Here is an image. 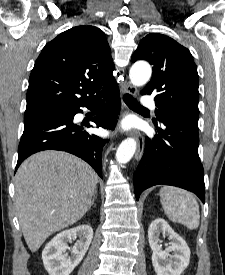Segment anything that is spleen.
Listing matches in <instances>:
<instances>
[{"mask_svg": "<svg viewBox=\"0 0 225 275\" xmlns=\"http://www.w3.org/2000/svg\"><path fill=\"white\" fill-rule=\"evenodd\" d=\"M159 195L161 205L169 220L183 224L190 230L198 228L199 205L190 192L173 186H164Z\"/></svg>", "mask_w": 225, "mask_h": 275, "instance_id": "3e777b00", "label": "spleen"}]
</instances>
